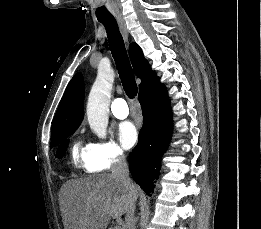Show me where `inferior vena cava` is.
Listing matches in <instances>:
<instances>
[{"mask_svg": "<svg viewBox=\"0 0 261 229\" xmlns=\"http://www.w3.org/2000/svg\"><path fill=\"white\" fill-rule=\"evenodd\" d=\"M112 177L119 179L120 183L128 189H134V185L129 177V169L124 155H118L117 159L112 161ZM126 229H136L135 201H131L130 207L125 217Z\"/></svg>", "mask_w": 261, "mask_h": 229, "instance_id": "602c4592", "label": "inferior vena cava"}]
</instances>
